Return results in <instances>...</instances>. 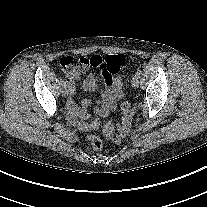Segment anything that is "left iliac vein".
<instances>
[{
	"label": "left iliac vein",
	"instance_id": "1",
	"mask_svg": "<svg viewBox=\"0 0 207 207\" xmlns=\"http://www.w3.org/2000/svg\"><path fill=\"white\" fill-rule=\"evenodd\" d=\"M139 79L140 78L138 76H134L132 78L131 85H132L133 88H138L139 83H140Z\"/></svg>",
	"mask_w": 207,
	"mask_h": 207
}]
</instances>
